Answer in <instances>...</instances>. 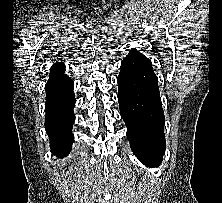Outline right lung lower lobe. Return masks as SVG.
Returning a JSON list of instances; mask_svg holds the SVG:
<instances>
[{"instance_id":"right-lung-lower-lobe-1","label":"right lung lower lobe","mask_w":222,"mask_h":203,"mask_svg":"<svg viewBox=\"0 0 222 203\" xmlns=\"http://www.w3.org/2000/svg\"><path fill=\"white\" fill-rule=\"evenodd\" d=\"M64 69L63 63L54 64L45 87V129L50 139L51 150L58 157L66 156L70 152L74 139L71 133L75 121L74 83L64 74Z\"/></svg>"}]
</instances>
